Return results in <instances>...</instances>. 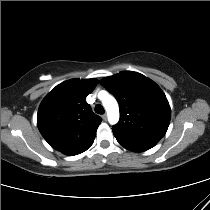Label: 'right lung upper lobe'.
Returning <instances> with one entry per match:
<instances>
[{"instance_id":"1","label":"right lung upper lobe","mask_w":210,"mask_h":210,"mask_svg":"<svg viewBox=\"0 0 210 210\" xmlns=\"http://www.w3.org/2000/svg\"><path fill=\"white\" fill-rule=\"evenodd\" d=\"M96 84V79H71L57 85L43 99L37 125L52 148L74 156L93 144L102 119L92 112L85 98Z\"/></svg>"}]
</instances>
